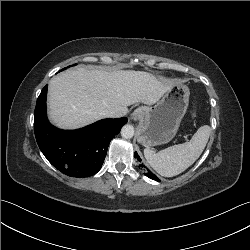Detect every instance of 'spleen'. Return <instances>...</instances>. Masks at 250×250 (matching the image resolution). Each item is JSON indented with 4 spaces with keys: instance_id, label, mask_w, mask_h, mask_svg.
I'll use <instances>...</instances> for the list:
<instances>
[{
    "instance_id": "1",
    "label": "spleen",
    "mask_w": 250,
    "mask_h": 250,
    "mask_svg": "<svg viewBox=\"0 0 250 250\" xmlns=\"http://www.w3.org/2000/svg\"><path fill=\"white\" fill-rule=\"evenodd\" d=\"M210 133V126H201L189 142L168 147L158 153L148 148L144 149L145 158L161 176H176L199 158L208 142Z\"/></svg>"
}]
</instances>
